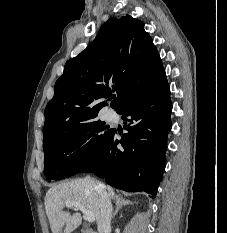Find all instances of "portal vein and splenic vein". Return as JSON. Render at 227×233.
<instances>
[{
    "label": "portal vein and splenic vein",
    "mask_w": 227,
    "mask_h": 233,
    "mask_svg": "<svg viewBox=\"0 0 227 233\" xmlns=\"http://www.w3.org/2000/svg\"><path fill=\"white\" fill-rule=\"evenodd\" d=\"M65 204H66V207H68V208L75 207L78 210H80L84 214V216H85V218H86V220L88 222H94L95 221V216H94L93 212L87 210L85 208V206H83L82 204H80L78 202H71V201L66 202Z\"/></svg>",
    "instance_id": "portal-vein-and-splenic-vein-1"
}]
</instances>
